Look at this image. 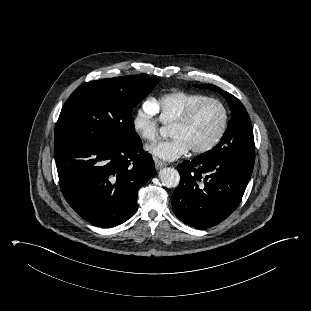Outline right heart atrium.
<instances>
[{
	"instance_id": "d8ad5b80",
	"label": "right heart atrium",
	"mask_w": 311,
	"mask_h": 311,
	"mask_svg": "<svg viewBox=\"0 0 311 311\" xmlns=\"http://www.w3.org/2000/svg\"><path fill=\"white\" fill-rule=\"evenodd\" d=\"M160 125L161 121L156 116L153 100L145 101L132 118L133 131L145 142H152L156 139Z\"/></svg>"
}]
</instances>
